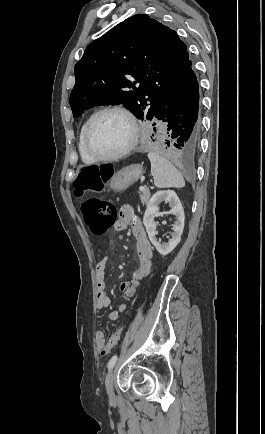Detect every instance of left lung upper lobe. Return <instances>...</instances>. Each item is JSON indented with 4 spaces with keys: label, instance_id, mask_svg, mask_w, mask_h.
Returning a JSON list of instances; mask_svg holds the SVG:
<instances>
[{
    "label": "left lung upper lobe",
    "instance_id": "left-lung-upper-lobe-1",
    "mask_svg": "<svg viewBox=\"0 0 265 434\" xmlns=\"http://www.w3.org/2000/svg\"><path fill=\"white\" fill-rule=\"evenodd\" d=\"M188 60L187 46L174 30L134 15L91 43L76 63L69 99L73 117L96 105L123 104L143 119L149 100L146 118L152 119Z\"/></svg>",
    "mask_w": 265,
    "mask_h": 434
}]
</instances>
